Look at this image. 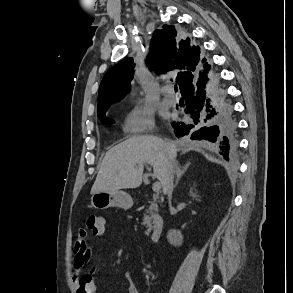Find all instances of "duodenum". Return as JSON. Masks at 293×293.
Listing matches in <instances>:
<instances>
[{"mask_svg":"<svg viewBox=\"0 0 293 293\" xmlns=\"http://www.w3.org/2000/svg\"><path fill=\"white\" fill-rule=\"evenodd\" d=\"M164 225H165L164 218L162 217V215L157 213L154 216L153 224H152V230H151V240H152V242L155 243L160 239L161 234H162L163 229H164Z\"/></svg>","mask_w":293,"mask_h":293,"instance_id":"1","label":"duodenum"}]
</instances>
